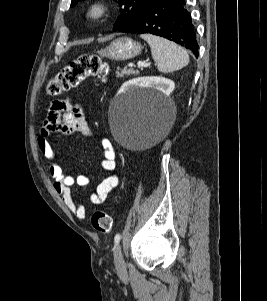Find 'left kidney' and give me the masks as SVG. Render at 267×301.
Listing matches in <instances>:
<instances>
[{"instance_id":"left-kidney-1","label":"left kidney","mask_w":267,"mask_h":301,"mask_svg":"<svg viewBox=\"0 0 267 301\" xmlns=\"http://www.w3.org/2000/svg\"><path fill=\"white\" fill-rule=\"evenodd\" d=\"M131 87L151 88L169 96L174 90L175 84L170 79L163 77H140L124 83L119 90V94L126 92Z\"/></svg>"}]
</instances>
